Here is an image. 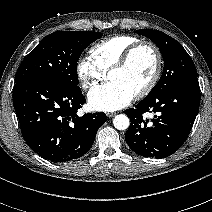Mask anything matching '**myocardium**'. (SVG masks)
<instances>
[{"label": "myocardium", "mask_w": 212, "mask_h": 212, "mask_svg": "<svg viewBox=\"0 0 212 212\" xmlns=\"http://www.w3.org/2000/svg\"><path fill=\"white\" fill-rule=\"evenodd\" d=\"M142 48H148L153 52L155 56L156 64H155L154 73L152 77L150 78V80L142 89H140L136 94H134V97L136 99H141L147 96L154 89V87L156 86V84L158 83L160 79L162 68H163V57L160 50L155 44L149 41H140L133 44L123 53L120 59L114 65H112V67L108 70V74H107L109 78L111 73L125 69L129 65L130 61L132 60L134 54Z\"/></svg>", "instance_id": "myocardium-1"}]
</instances>
